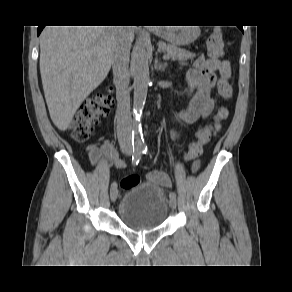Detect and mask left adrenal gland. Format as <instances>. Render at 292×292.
<instances>
[{
	"label": "left adrenal gland",
	"mask_w": 292,
	"mask_h": 292,
	"mask_svg": "<svg viewBox=\"0 0 292 292\" xmlns=\"http://www.w3.org/2000/svg\"><path fill=\"white\" fill-rule=\"evenodd\" d=\"M155 69L157 71H165L166 67H167V62L164 63H160L158 61V59L155 60V65H154Z\"/></svg>",
	"instance_id": "a2214340"
}]
</instances>
